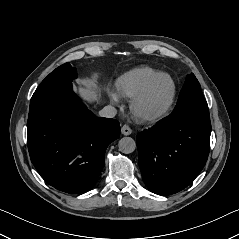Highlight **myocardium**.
<instances>
[{
  "instance_id": "obj_1",
  "label": "myocardium",
  "mask_w": 239,
  "mask_h": 239,
  "mask_svg": "<svg viewBox=\"0 0 239 239\" xmlns=\"http://www.w3.org/2000/svg\"><path fill=\"white\" fill-rule=\"evenodd\" d=\"M161 78H166L170 81L171 91L170 94L165 101V103L156 110L141 112L138 110L140 103L147 96L150 89L153 85ZM176 83L173 78L167 73H158L155 77H153L139 92H137L130 101V109L131 111L142 121H155L162 118L172 106L175 96H176Z\"/></svg>"
}]
</instances>
